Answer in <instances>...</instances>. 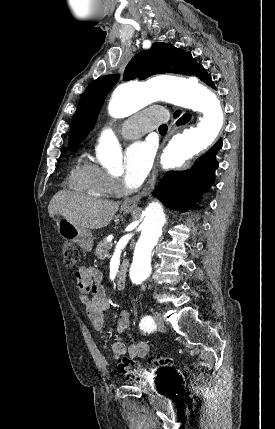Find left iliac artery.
<instances>
[{
  "label": "left iliac artery",
  "instance_id": "left-iliac-artery-1",
  "mask_svg": "<svg viewBox=\"0 0 275 429\" xmlns=\"http://www.w3.org/2000/svg\"><path fill=\"white\" fill-rule=\"evenodd\" d=\"M155 328L154 320L151 316H145L140 322V329L144 331H151Z\"/></svg>",
  "mask_w": 275,
  "mask_h": 429
}]
</instances>
